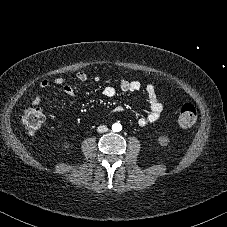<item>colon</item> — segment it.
<instances>
[{"label":"colon","mask_w":227,"mask_h":227,"mask_svg":"<svg viewBox=\"0 0 227 227\" xmlns=\"http://www.w3.org/2000/svg\"><path fill=\"white\" fill-rule=\"evenodd\" d=\"M197 119V110L193 104H184L178 113V122L183 127L194 125ZM45 121V115L39 109H27L22 115L21 122L31 135L37 134Z\"/></svg>","instance_id":"obj_1"}]
</instances>
